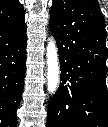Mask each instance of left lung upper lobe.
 I'll list each match as a JSON object with an SVG mask.
<instances>
[{"label":"left lung upper lobe","mask_w":108,"mask_h":127,"mask_svg":"<svg viewBox=\"0 0 108 127\" xmlns=\"http://www.w3.org/2000/svg\"><path fill=\"white\" fill-rule=\"evenodd\" d=\"M77 65L76 64H72L71 67L69 68V70H67L68 72L66 74H68V81L70 83H72V80L74 81V83L76 84V80H77ZM69 85V84H68Z\"/></svg>","instance_id":"5c2ea615"}]
</instances>
